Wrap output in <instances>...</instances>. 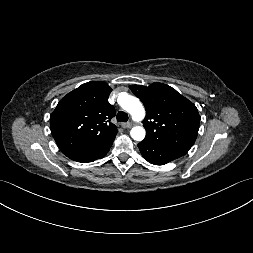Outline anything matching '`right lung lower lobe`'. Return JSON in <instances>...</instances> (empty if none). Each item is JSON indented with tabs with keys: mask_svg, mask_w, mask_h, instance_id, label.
Here are the masks:
<instances>
[{
	"mask_svg": "<svg viewBox=\"0 0 253 253\" xmlns=\"http://www.w3.org/2000/svg\"><path fill=\"white\" fill-rule=\"evenodd\" d=\"M115 137L110 138L102 143L97 145L82 149L73 155L69 156L70 159L78 162H93L99 158H103L107 152L110 150L111 145Z\"/></svg>",
	"mask_w": 253,
	"mask_h": 253,
	"instance_id": "98d812e1",
	"label": "right lung lower lobe"
}]
</instances>
